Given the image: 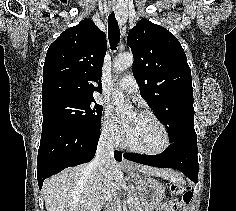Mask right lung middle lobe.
<instances>
[{
    "label": "right lung middle lobe",
    "instance_id": "1",
    "mask_svg": "<svg viewBox=\"0 0 236 211\" xmlns=\"http://www.w3.org/2000/svg\"><path fill=\"white\" fill-rule=\"evenodd\" d=\"M43 124L60 123L100 131L102 106L94 99L60 98L42 104Z\"/></svg>",
    "mask_w": 236,
    "mask_h": 211
}]
</instances>
